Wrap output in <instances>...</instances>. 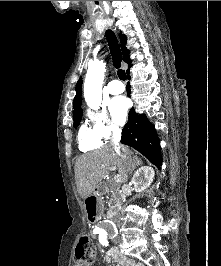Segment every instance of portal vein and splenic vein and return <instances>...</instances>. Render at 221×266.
<instances>
[{
    "mask_svg": "<svg viewBox=\"0 0 221 266\" xmlns=\"http://www.w3.org/2000/svg\"><path fill=\"white\" fill-rule=\"evenodd\" d=\"M109 170H111V171L116 170V167H110ZM114 180H115V182L119 183L121 181L120 175H115Z\"/></svg>",
    "mask_w": 221,
    "mask_h": 266,
    "instance_id": "1",
    "label": "portal vein and splenic vein"
}]
</instances>
